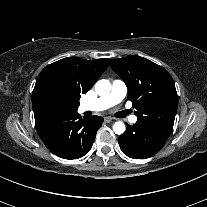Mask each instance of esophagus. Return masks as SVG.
<instances>
[{
	"instance_id": "esophagus-1",
	"label": "esophagus",
	"mask_w": 207,
	"mask_h": 207,
	"mask_svg": "<svg viewBox=\"0 0 207 207\" xmlns=\"http://www.w3.org/2000/svg\"><path fill=\"white\" fill-rule=\"evenodd\" d=\"M104 121H105L106 123H110V122H112V118H111V117H105V118H104Z\"/></svg>"
}]
</instances>
